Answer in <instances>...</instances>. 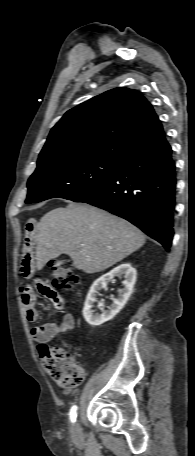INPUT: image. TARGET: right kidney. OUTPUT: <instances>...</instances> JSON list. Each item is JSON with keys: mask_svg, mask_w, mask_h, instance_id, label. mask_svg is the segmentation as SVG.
Instances as JSON below:
<instances>
[{"mask_svg": "<svg viewBox=\"0 0 195 456\" xmlns=\"http://www.w3.org/2000/svg\"><path fill=\"white\" fill-rule=\"evenodd\" d=\"M136 275V269L133 268L130 263H123L96 279L88 292L83 308V316L86 322L91 326L96 327L113 319L125 306L129 297L133 293ZM114 277L125 278L123 281L124 288L119 291L118 298L113 299V303L107 311H104L101 314L94 313L92 308L94 303L97 301L99 291L106 288L107 284Z\"/></svg>", "mask_w": 195, "mask_h": 456, "instance_id": "obj_1", "label": "right kidney"}]
</instances>
